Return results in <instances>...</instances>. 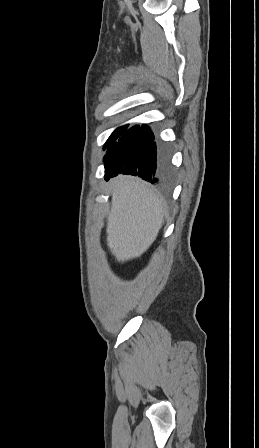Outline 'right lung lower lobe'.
<instances>
[{
	"label": "right lung lower lobe",
	"instance_id": "obj_1",
	"mask_svg": "<svg viewBox=\"0 0 259 448\" xmlns=\"http://www.w3.org/2000/svg\"><path fill=\"white\" fill-rule=\"evenodd\" d=\"M154 139L152 130L145 124L127 129L107 149L105 180L120 173L139 176L152 183L168 180L170 151L164 147L157 150Z\"/></svg>",
	"mask_w": 259,
	"mask_h": 448
}]
</instances>
